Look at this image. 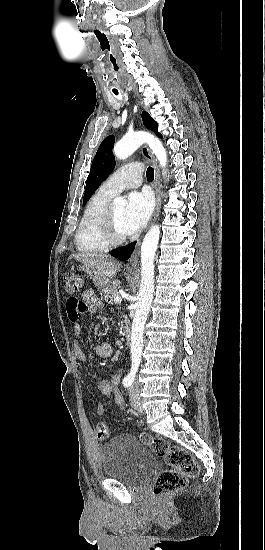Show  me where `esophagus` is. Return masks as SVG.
<instances>
[{
	"instance_id": "obj_1",
	"label": "esophagus",
	"mask_w": 265,
	"mask_h": 550,
	"mask_svg": "<svg viewBox=\"0 0 265 550\" xmlns=\"http://www.w3.org/2000/svg\"><path fill=\"white\" fill-rule=\"evenodd\" d=\"M142 154L144 155V157L148 161H150L152 163V165L154 167V173H155L154 190H155V195H156V207H155V211H154V214L152 216V219H151V222H150V225H149V227H150L155 222V220L157 219L158 214H159V210H160V207H161L160 174H159V167H158L157 161H156L155 157L153 156V154L151 153V151L149 150V148L147 147V145H144L142 147ZM140 241H141V239H139L137 241L134 252L132 253V255L130 256V258L128 259V261L125 264V266L127 268L135 269L137 267L138 258H139Z\"/></svg>"
}]
</instances>
